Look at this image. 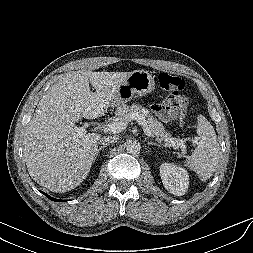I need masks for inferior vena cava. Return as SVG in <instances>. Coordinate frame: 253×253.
Here are the masks:
<instances>
[{"label":"inferior vena cava","mask_w":253,"mask_h":253,"mask_svg":"<svg viewBox=\"0 0 253 253\" xmlns=\"http://www.w3.org/2000/svg\"><path fill=\"white\" fill-rule=\"evenodd\" d=\"M117 137L116 136H108V137H102L99 139V143L103 144V145H108V144H112L115 143L117 141Z\"/></svg>","instance_id":"obj_1"}]
</instances>
